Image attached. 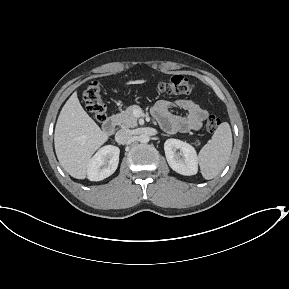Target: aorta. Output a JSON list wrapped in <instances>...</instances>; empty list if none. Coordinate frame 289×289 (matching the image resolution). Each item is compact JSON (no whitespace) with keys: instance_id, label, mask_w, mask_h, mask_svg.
Instances as JSON below:
<instances>
[{"instance_id":"aorta-1","label":"aorta","mask_w":289,"mask_h":289,"mask_svg":"<svg viewBox=\"0 0 289 289\" xmlns=\"http://www.w3.org/2000/svg\"><path fill=\"white\" fill-rule=\"evenodd\" d=\"M149 140H150V136L147 135V134H141V135L139 136V141H140L141 143H148Z\"/></svg>"}]
</instances>
